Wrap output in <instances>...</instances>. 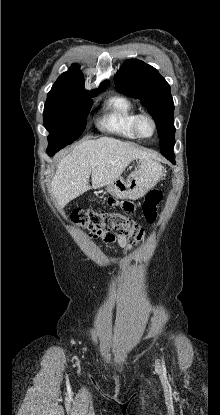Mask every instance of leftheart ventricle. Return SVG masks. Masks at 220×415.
Segmentation results:
<instances>
[{
    "instance_id": "left-heart-ventricle-1",
    "label": "left heart ventricle",
    "mask_w": 220,
    "mask_h": 415,
    "mask_svg": "<svg viewBox=\"0 0 220 415\" xmlns=\"http://www.w3.org/2000/svg\"><path fill=\"white\" fill-rule=\"evenodd\" d=\"M140 131L146 137L151 136V134L153 132V127H152L151 122L148 119H143L141 121V123H140Z\"/></svg>"
}]
</instances>
